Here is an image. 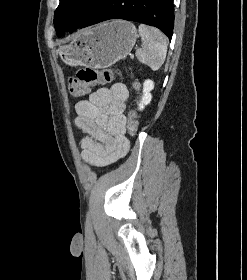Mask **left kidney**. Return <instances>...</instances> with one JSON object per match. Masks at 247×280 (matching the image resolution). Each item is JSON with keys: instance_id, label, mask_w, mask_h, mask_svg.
<instances>
[{"instance_id": "5707ae66", "label": "left kidney", "mask_w": 247, "mask_h": 280, "mask_svg": "<svg viewBox=\"0 0 247 280\" xmlns=\"http://www.w3.org/2000/svg\"><path fill=\"white\" fill-rule=\"evenodd\" d=\"M154 88V83L151 80H146L143 83V96L139 103V110H143L146 105L151 102L152 95L150 91Z\"/></svg>"}]
</instances>
